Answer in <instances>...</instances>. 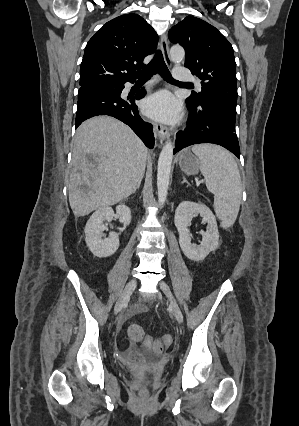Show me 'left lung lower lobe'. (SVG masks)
<instances>
[{"label": "left lung lower lobe", "instance_id": "1", "mask_svg": "<svg viewBox=\"0 0 299 426\" xmlns=\"http://www.w3.org/2000/svg\"><path fill=\"white\" fill-rule=\"evenodd\" d=\"M190 110L187 128L176 135L174 153L199 143L221 145L240 158V148L235 133L236 112L217 102L193 104L187 99Z\"/></svg>", "mask_w": 299, "mask_h": 426}]
</instances>
